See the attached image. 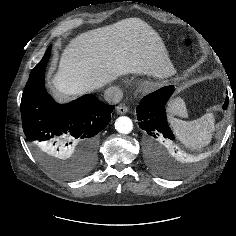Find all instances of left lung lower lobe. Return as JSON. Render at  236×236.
<instances>
[{
    "instance_id": "0a47b994",
    "label": "left lung lower lobe",
    "mask_w": 236,
    "mask_h": 236,
    "mask_svg": "<svg viewBox=\"0 0 236 236\" xmlns=\"http://www.w3.org/2000/svg\"><path fill=\"white\" fill-rule=\"evenodd\" d=\"M174 91L173 86L162 87L159 90L145 96L137 106V119L140 121L139 126L146 131L149 136V144L153 145L154 139L160 140L165 138L174 140L165 113V105L169 97ZM228 98H226L223 109L228 106ZM153 148V147H152ZM151 157L155 159V154L151 151Z\"/></svg>"
}]
</instances>
